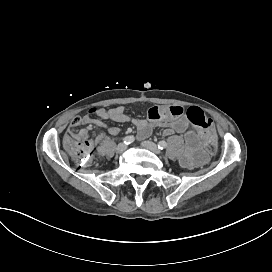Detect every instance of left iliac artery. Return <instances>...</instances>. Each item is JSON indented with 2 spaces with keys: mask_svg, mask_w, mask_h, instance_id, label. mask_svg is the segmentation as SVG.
Segmentation results:
<instances>
[{
  "mask_svg": "<svg viewBox=\"0 0 272 272\" xmlns=\"http://www.w3.org/2000/svg\"><path fill=\"white\" fill-rule=\"evenodd\" d=\"M157 146L159 149L163 150L167 147V143L165 141H159Z\"/></svg>",
  "mask_w": 272,
  "mask_h": 272,
  "instance_id": "obj_1",
  "label": "left iliac artery"
}]
</instances>
